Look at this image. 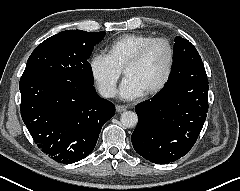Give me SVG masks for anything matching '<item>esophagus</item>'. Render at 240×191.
<instances>
[{"mask_svg": "<svg viewBox=\"0 0 240 191\" xmlns=\"http://www.w3.org/2000/svg\"><path fill=\"white\" fill-rule=\"evenodd\" d=\"M127 110V106L124 105H116V111L121 113Z\"/></svg>", "mask_w": 240, "mask_h": 191, "instance_id": "obj_1", "label": "esophagus"}]
</instances>
